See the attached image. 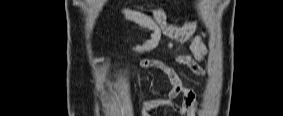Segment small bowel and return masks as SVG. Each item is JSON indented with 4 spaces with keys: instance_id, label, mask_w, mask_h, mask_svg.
<instances>
[{
    "instance_id": "obj_1",
    "label": "small bowel",
    "mask_w": 283,
    "mask_h": 116,
    "mask_svg": "<svg viewBox=\"0 0 283 116\" xmlns=\"http://www.w3.org/2000/svg\"><path fill=\"white\" fill-rule=\"evenodd\" d=\"M121 14L126 19L139 24L150 31V36L145 43L137 46L122 47V49L134 53H145L158 45L161 35L163 33V30L157 20L163 18V13L160 10L154 11V15L157 19L145 15L144 13L129 7L123 8L121 10ZM194 29H195V23H191V24L187 23L181 28L171 30L170 35L175 41L179 43H183L189 39ZM206 37H207L206 33H200L194 38L191 44V51L194 54L196 60L199 61L202 60L204 56L207 54ZM96 61L98 62L103 61V58H99ZM177 62L190 67L192 70H194V72H196L200 76L204 75V70L198 67L189 57H185V56L178 57ZM142 66L155 67L161 69L167 74L170 83L172 84V88L167 93L166 99L156 100L146 104L141 111L143 115H145L147 110L159 106L163 103H166L169 100H174L178 97H182L183 102L181 104L174 105L175 111L180 115H186V116L195 115V109H196L195 93L192 89L182 85L180 78L177 76V74L174 72L172 68L161 62H152L150 60H144L142 62Z\"/></svg>"
}]
</instances>
